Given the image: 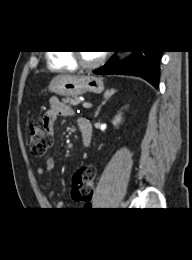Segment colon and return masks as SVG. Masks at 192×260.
<instances>
[{
  "instance_id": "colon-1",
  "label": "colon",
  "mask_w": 192,
  "mask_h": 260,
  "mask_svg": "<svg viewBox=\"0 0 192 260\" xmlns=\"http://www.w3.org/2000/svg\"><path fill=\"white\" fill-rule=\"evenodd\" d=\"M30 150L32 155L42 157L51 146V134L43 124L33 122L29 125ZM96 170L91 165L80 167L73 175L72 197L77 202L88 203L94 192Z\"/></svg>"
}]
</instances>
